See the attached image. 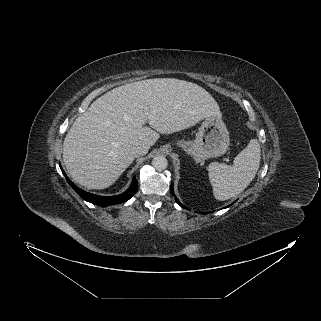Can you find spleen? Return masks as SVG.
Masks as SVG:
<instances>
[{"label":"spleen","instance_id":"1","mask_svg":"<svg viewBox=\"0 0 321 321\" xmlns=\"http://www.w3.org/2000/svg\"><path fill=\"white\" fill-rule=\"evenodd\" d=\"M260 144L251 139L234 159L233 165L212 162L208 175L217 200H228L241 193L254 179L260 165Z\"/></svg>","mask_w":321,"mask_h":321}]
</instances>
